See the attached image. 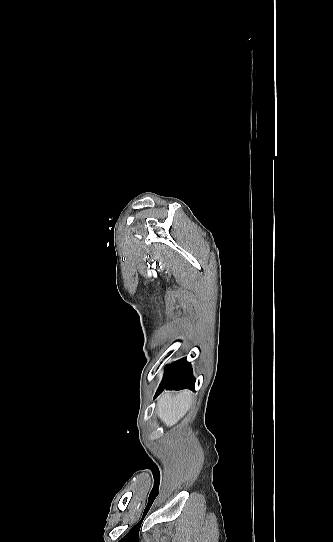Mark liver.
<instances>
[{
  "mask_svg": "<svg viewBox=\"0 0 333 542\" xmlns=\"http://www.w3.org/2000/svg\"><path fill=\"white\" fill-rule=\"evenodd\" d=\"M191 402L192 396L190 392H180V394L164 392L159 398V404H157V414L165 426L171 428L187 414Z\"/></svg>",
  "mask_w": 333,
  "mask_h": 542,
  "instance_id": "6515ba94",
  "label": "liver"
}]
</instances>
